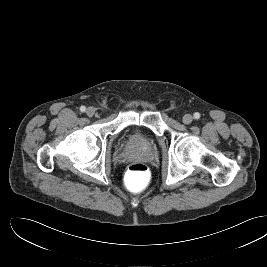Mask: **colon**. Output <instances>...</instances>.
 <instances>
[{"instance_id": "obj_1", "label": "colon", "mask_w": 267, "mask_h": 267, "mask_svg": "<svg viewBox=\"0 0 267 267\" xmlns=\"http://www.w3.org/2000/svg\"><path fill=\"white\" fill-rule=\"evenodd\" d=\"M150 182L148 167L140 162L132 163L125 174V185L131 192L137 193L144 190Z\"/></svg>"}]
</instances>
